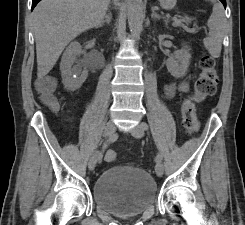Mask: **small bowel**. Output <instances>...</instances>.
<instances>
[{
    "label": "small bowel",
    "instance_id": "1",
    "mask_svg": "<svg viewBox=\"0 0 245 225\" xmlns=\"http://www.w3.org/2000/svg\"><path fill=\"white\" fill-rule=\"evenodd\" d=\"M53 82V78L51 76H45V77H41L37 84L38 86H42V85H46L48 83H52ZM187 84L186 83H176V82H171L165 85L164 88V92L166 94L167 97H172L178 90L179 91H186L187 90ZM109 153H113L115 154L114 151H109ZM115 160V158L113 160H111L110 162H113Z\"/></svg>",
    "mask_w": 245,
    "mask_h": 225
}]
</instances>
